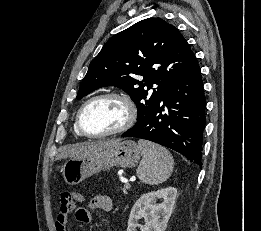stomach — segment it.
<instances>
[{
	"label": "stomach",
	"mask_w": 261,
	"mask_h": 231,
	"mask_svg": "<svg viewBox=\"0 0 261 231\" xmlns=\"http://www.w3.org/2000/svg\"><path fill=\"white\" fill-rule=\"evenodd\" d=\"M141 150L136 142L125 140L83 158H70L62 166V176L69 185H76L101 170L111 167H135Z\"/></svg>",
	"instance_id": "obj_1"
}]
</instances>
